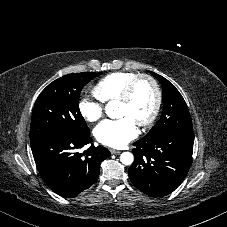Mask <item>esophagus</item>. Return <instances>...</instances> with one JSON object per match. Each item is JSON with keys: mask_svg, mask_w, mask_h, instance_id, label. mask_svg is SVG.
<instances>
[{"mask_svg": "<svg viewBox=\"0 0 227 227\" xmlns=\"http://www.w3.org/2000/svg\"><path fill=\"white\" fill-rule=\"evenodd\" d=\"M110 152L112 153V154H119V153H121L119 150H115V149H110Z\"/></svg>", "mask_w": 227, "mask_h": 227, "instance_id": "34e87169", "label": "esophagus"}]
</instances>
